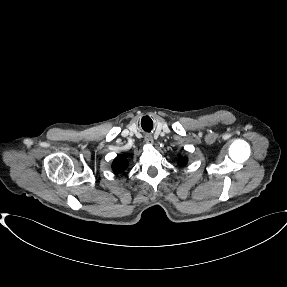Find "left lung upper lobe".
<instances>
[{
  "mask_svg": "<svg viewBox=\"0 0 287 287\" xmlns=\"http://www.w3.org/2000/svg\"><path fill=\"white\" fill-rule=\"evenodd\" d=\"M178 161H179L180 166H183L187 163V160L183 158L182 156H179Z\"/></svg>",
  "mask_w": 287,
  "mask_h": 287,
  "instance_id": "obj_1",
  "label": "left lung upper lobe"
}]
</instances>
